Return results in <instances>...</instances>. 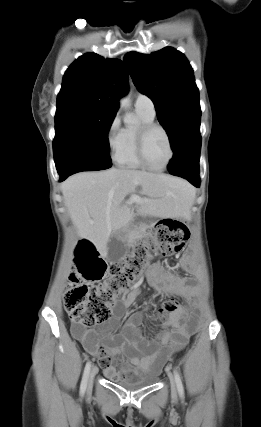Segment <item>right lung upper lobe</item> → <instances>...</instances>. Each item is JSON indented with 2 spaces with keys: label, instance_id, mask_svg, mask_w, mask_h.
<instances>
[{
  "label": "right lung upper lobe",
  "instance_id": "right-lung-upper-lobe-1",
  "mask_svg": "<svg viewBox=\"0 0 261 427\" xmlns=\"http://www.w3.org/2000/svg\"><path fill=\"white\" fill-rule=\"evenodd\" d=\"M127 78L121 60L84 54L64 74L57 110L84 107L116 113L118 99L127 91Z\"/></svg>",
  "mask_w": 261,
  "mask_h": 427
}]
</instances>
